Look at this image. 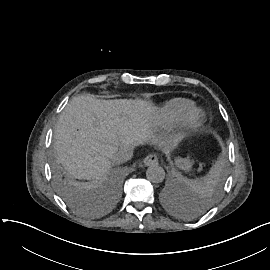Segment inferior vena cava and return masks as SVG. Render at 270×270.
I'll return each mask as SVG.
<instances>
[{
	"mask_svg": "<svg viewBox=\"0 0 270 270\" xmlns=\"http://www.w3.org/2000/svg\"><path fill=\"white\" fill-rule=\"evenodd\" d=\"M133 149L131 147H122L114 155L116 163L126 162L133 158Z\"/></svg>",
	"mask_w": 270,
	"mask_h": 270,
	"instance_id": "inferior-vena-cava-1",
	"label": "inferior vena cava"
}]
</instances>
